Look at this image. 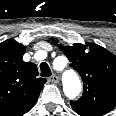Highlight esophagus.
Instances as JSON below:
<instances>
[{
    "instance_id": "1",
    "label": "esophagus",
    "mask_w": 116,
    "mask_h": 116,
    "mask_svg": "<svg viewBox=\"0 0 116 116\" xmlns=\"http://www.w3.org/2000/svg\"><path fill=\"white\" fill-rule=\"evenodd\" d=\"M49 81L51 82V83H58V81H59V77L57 76V75H52L50 78H49Z\"/></svg>"
}]
</instances>
